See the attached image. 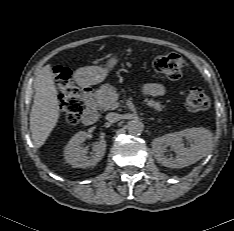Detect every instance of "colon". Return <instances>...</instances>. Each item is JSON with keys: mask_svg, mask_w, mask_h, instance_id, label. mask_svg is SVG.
<instances>
[{"mask_svg": "<svg viewBox=\"0 0 234 231\" xmlns=\"http://www.w3.org/2000/svg\"><path fill=\"white\" fill-rule=\"evenodd\" d=\"M184 59L177 53H170L159 57L154 62V68L164 74L169 80L176 81L182 76ZM56 85L60 97V114L69 126L80 123L84 104L78 89L71 82L70 71L62 66L54 69ZM186 108L191 112H199L208 108L209 98L200 87H193L185 100Z\"/></svg>", "mask_w": 234, "mask_h": 231, "instance_id": "colon-1", "label": "colon"}]
</instances>
